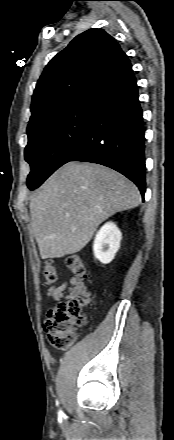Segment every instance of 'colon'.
Returning <instances> with one entry per match:
<instances>
[{"label": "colon", "mask_w": 174, "mask_h": 440, "mask_svg": "<svg viewBox=\"0 0 174 440\" xmlns=\"http://www.w3.org/2000/svg\"><path fill=\"white\" fill-rule=\"evenodd\" d=\"M65 262L73 275L81 279L87 278L86 266L79 255H67ZM43 274L47 283L53 284L57 281V272L51 262L46 263ZM83 303L82 298H72L49 309L43 327L52 347L64 350L72 345L75 340V330L81 329L86 323L82 311Z\"/></svg>", "instance_id": "1"}]
</instances>
